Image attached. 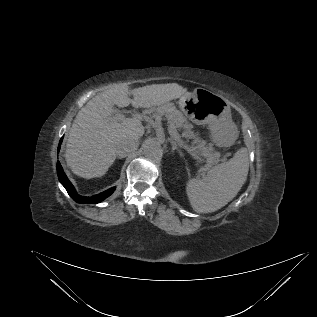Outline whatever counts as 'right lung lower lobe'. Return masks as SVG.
Instances as JSON below:
<instances>
[{
	"label": "right lung lower lobe",
	"mask_w": 317,
	"mask_h": 317,
	"mask_svg": "<svg viewBox=\"0 0 317 317\" xmlns=\"http://www.w3.org/2000/svg\"><path fill=\"white\" fill-rule=\"evenodd\" d=\"M61 142H62V138H61L59 146H58V151L60 150ZM57 174H58V178H59V181L61 182V184L65 187V189L67 190L68 194L72 197V199L74 201H76L77 203L97 204V203L103 201L108 196H110L115 190V187H113V188L106 190V191H104V192H102L94 197H83V196H80L77 194L74 186L68 180V178H67L66 174L64 173L63 168L59 162H57Z\"/></svg>",
	"instance_id": "right-lung-lower-lobe-1"
}]
</instances>
